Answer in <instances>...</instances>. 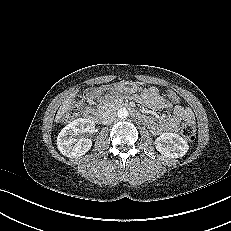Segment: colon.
Wrapping results in <instances>:
<instances>
[{
  "label": "colon",
  "instance_id": "obj_1",
  "mask_svg": "<svg viewBox=\"0 0 231 231\" xmlns=\"http://www.w3.org/2000/svg\"><path fill=\"white\" fill-rule=\"evenodd\" d=\"M168 100L176 104L179 102V97L174 91H168ZM83 99L80 96H76L69 109L62 115V120L65 122L75 116H77L82 108ZM180 134L188 141H194L196 138V125L194 122H185L180 126Z\"/></svg>",
  "mask_w": 231,
  "mask_h": 231
}]
</instances>
